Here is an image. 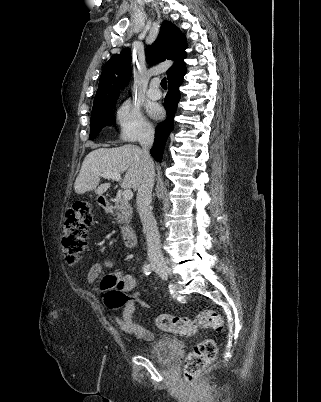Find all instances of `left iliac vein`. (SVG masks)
Here are the masks:
<instances>
[{
    "label": "left iliac vein",
    "mask_w": 321,
    "mask_h": 402,
    "mask_svg": "<svg viewBox=\"0 0 321 402\" xmlns=\"http://www.w3.org/2000/svg\"><path fill=\"white\" fill-rule=\"evenodd\" d=\"M158 274H159V276L163 279V280H167V278H168V275L166 274V273H164V272H161V271H156Z\"/></svg>",
    "instance_id": "1"
}]
</instances>
